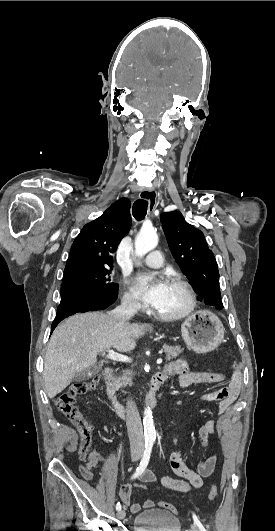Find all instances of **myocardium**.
I'll use <instances>...</instances> for the list:
<instances>
[{
	"label": "myocardium",
	"mask_w": 275,
	"mask_h": 531,
	"mask_svg": "<svg viewBox=\"0 0 275 531\" xmlns=\"http://www.w3.org/2000/svg\"><path fill=\"white\" fill-rule=\"evenodd\" d=\"M170 281L179 285L184 290L186 297H187L186 307L182 311L175 313V314H163V313L157 312L155 309H154V312L159 318L166 320V321L181 320V319L186 318L188 315H190L192 311L194 310L195 305H196L195 293L193 291L191 284L181 276L173 275L170 277Z\"/></svg>",
	"instance_id": "f54148a6"
}]
</instances>
